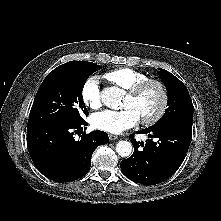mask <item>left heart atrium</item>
Wrapping results in <instances>:
<instances>
[{
    "label": "left heart atrium",
    "mask_w": 221,
    "mask_h": 221,
    "mask_svg": "<svg viewBox=\"0 0 221 221\" xmlns=\"http://www.w3.org/2000/svg\"><path fill=\"white\" fill-rule=\"evenodd\" d=\"M140 117L132 108L121 111L105 110L94 114L91 118L93 126L99 130L118 134L135 126Z\"/></svg>",
    "instance_id": "1"
}]
</instances>
